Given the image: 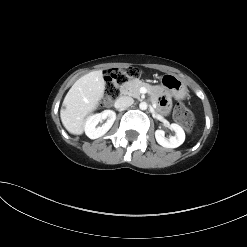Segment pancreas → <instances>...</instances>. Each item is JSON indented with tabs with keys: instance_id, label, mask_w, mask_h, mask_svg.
Instances as JSON below:
<instances>
[{
	"instance_id": "cf45deb5",
	"label": "pancreas",
	"mask_w": 247,
	"mask_h": 247,
	"mask_svg": "<svg viewBox=\"0 0 247 247\" xmlns=\"http://www.w3.org/2000/svg\"><path fill=\"white\" fill-rule=\"evenodd\" d=\"M141 87H146L149 91L152 89L151 85L143 81H140L138 79H133V80L123 83L120 86V92L123 95H129V96L139 99L141 96V93H140Z\"/></svg>"
}]
</instances>
